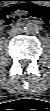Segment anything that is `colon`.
Masks as SVG:
<instances>
[{
  "label": "colon",
  "instance_id": "colon-1",
  "mask_svg": "<svg viewBox=\"0 0 50 111\" xmlns=\"http://www.w3.org/2000/svg\"><path fill=\"white\" fill-rule=\"evenodd\" d=\"M21 18H35L48 22L50 20V9L47 6L22 2L5 7L1 10L0 19L3 25Z\"/></svg>",
  "mask_w": 50,
  "mask_h": 111
}]
</instances>
